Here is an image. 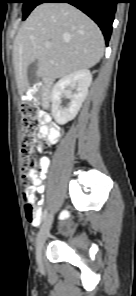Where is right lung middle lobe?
Masks as SVG:
<instances>
[{
  "label": "right lung middle lobe",
  "instance_id": "obj_1",
  "mask_svg": "<svg viewBox=\"0 0 136 296\" xmlns=\"http://www.w3.org/2000/svg\"><path fill=\"white\" fill-rule=\"evenodd\" d=\"M19 2L23 3V20H25L30 12L41 4L42 0H20Z\"/></svg>",
  "mask_w": 136,
  "mask_h": 296
}]
</instances>
